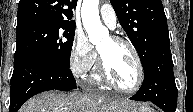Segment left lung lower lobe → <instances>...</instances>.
Masks as SVG:
<instances>
[{"instance_id": "1", "label": "left lung lower lobe", "mask_w": 193, "mask_h": 112, "mask_svg": "<svg viewBox=\"0 0 193 112\" xmlns=\"http://www.w3.org/2000/svg\"><path fill=\"white\" fill-rule=\"evenodd\" d=\"M144 69V81L131 100L151 101L164 112H175L177 87L173 73L170 43L159 47L150 57Z\"/></svg>"}]
</instances>
